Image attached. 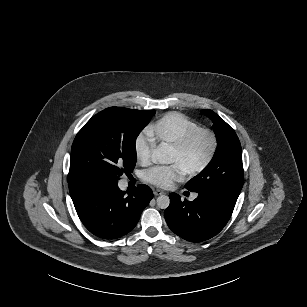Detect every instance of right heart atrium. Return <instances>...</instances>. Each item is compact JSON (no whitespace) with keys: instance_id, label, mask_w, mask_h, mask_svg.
<instances>
[{"instance_id":"d8ad5b80","label":"right heart atrium","mask_w":307,"mask_h":307,"mask_svg":"<svg viewBox=\"0 0 307 307\" xmlns=\"http://www.w3.org/2000/svg\"><path fill=\"white\" fill-rule=\"evenodd\" d=\"M155 150V144L146 135L138 137L133 145L135 159L142 165L150 163Z\"/></svg>"}]
</instances>
